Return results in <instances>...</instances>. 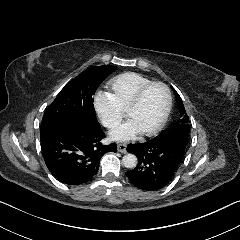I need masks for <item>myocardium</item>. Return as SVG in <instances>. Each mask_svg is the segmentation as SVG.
Masks as SVG:
<instances>
[{"label": "myocardium", "mask_w": 240, "mask_h": 240, "mask_svg": "<svg viewBox=\"0 0 240 240\" xmlns=\"http://www.w3.org/2000/svg\"><path fill=\"white\" fill-rule=\"evenodd\" d=\"M158 86L161 87L164 90L165 93V105H164V110L163 114L161 116V119L159 122L150 130L148 131H142L141 134L146 137H151L156 135L160 130L165 126L167 119L169 117V113L171 110L172 106V96L170 89L168 86L162 82H150L139 88V90L136 92L134 98L132 101L128 104V106L124 109V117L128 118V115L134 111L141 103L142 98L146 91L150 89L151 87Z\"/></svg>", "instance_id": "1"}]
</instances>
